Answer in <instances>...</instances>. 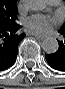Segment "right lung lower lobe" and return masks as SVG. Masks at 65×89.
Segmentation results:
<instances>
[{
	"label": "right lung lower lobe",
	"mask_w": 65,
	"mask_h": 89,
	"mask_svg": "<svg viewBox=\"0 0 65 89\" xmlns=\"http://www.w3.org/2000/svg\"><path fill=\"white\" fill-rule=\"evenodd\" d=\"M20 25L17 23L7 28H0V71L11 67L16 61L18 45L25 34H18Z\"/></svg>",
	"instance_id": "right-lung-lower-lobe-1"
}]
</instances>
